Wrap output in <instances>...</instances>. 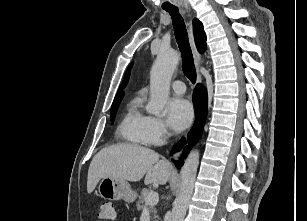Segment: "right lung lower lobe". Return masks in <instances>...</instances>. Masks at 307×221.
Here are the masks:
<instances>
[{
  "mask_svg": "<svg viewBox=\"0 0 307 221\" xmlns=\"http://www.w3.org/2000/svg\"><path fill=\"white\" fill-rule=\"evenodd\" d=\"M193 103L196 112V124L188 135L189 146L185 147L186 152L190 150L191 146H193L200 138L203 130V125L206 119L207 92L201 84H198L195 88ZM182 146V143H178L177 149L182 148ZM175 164L177 167H180L183 164V160L181 159L179 161H176Z\"/></svg>",
  "mask_w": 307,
  "mask_h": 221,
  "instance_id": "right-lung-lower-lobe-1",
  "label": "right lung lower lobe"
}]
</instances>
